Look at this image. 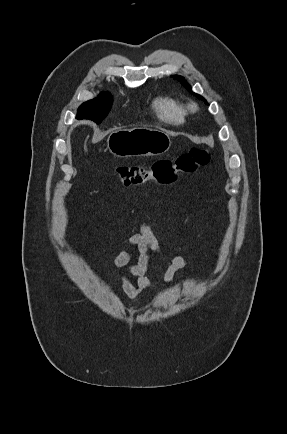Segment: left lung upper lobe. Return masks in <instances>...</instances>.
<instances>
[{
  "instance_id": "5c2ea615",
  "label": "left lung upper lobe",
  "mask_w": 287,
  "mask_h": 434,
  "mask_svg": "<svg viewBox=\"0 0 287 434\" xmlns=\"http://www.w3.org/2000/svg\"><path fill=\"white\" fill-rule=\"evenodd\" d=\"M172 77L175 78V79H177V80H179V81H181V82L183 83V85H184V86H185V87H186L190 92H192L190 86L186 83L184 77L179 76V75H173ZM192 93H193V92H192ZM193 94H194L196 97H198L199 99H202V100H204V102H206V100H205L203 97H201L200 95L195 94V93H193ZM206 103H207V102H206Z\"/></svg>"
}]
</instances>
